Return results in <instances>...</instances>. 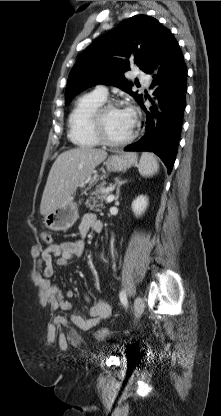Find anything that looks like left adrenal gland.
<instances>
[{
  "instance_id": "a2214340",
  "label": "left adrenal gland",
  "mask_w": 221,
  "mask_h": 416,
  "mask_svg": "<svg viewBox=\"0 0 221 416\" xmlns=\"http://www.w3.org/2000/svg\"><path fill=\"white\" fill-rule=\"evenodd\" d=\"M127 182V180H121L120 178H115V185H117V189H116V197H115V201L117 203L118 199H119V195H120V187L125 184Z\"/></svg>"
}]
</instances>
